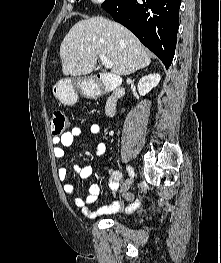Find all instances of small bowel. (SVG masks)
I'll list each match as a JSON object with an SVG mask.
<instances>
[{
    "instance_id": "small-bowel-1",
    "label": "small bowel",
    "mask_w": 221,
    "mask_h": 263,
    "mask_svg": "<svg viewBox=\"0 0 221 263\" xmlns=\"http://www.w3.org/2000/svg\"><path fill=\"white\" fill-rule=\"evenodd\" d=\"M102 126L98 123L92 124L90 126V133L92 135L100 134ZM82 130L79 127H74L70 131L65 132L62 136L56 137L53 139V156L56 159H62L65 156V148L71 146L74 140L80 137ZM106 152V144L103 141H97L94 144V153L97 156H102ZM74 172L80 178H88L92 174V167L89 165H75L73 167ZM58 177L64 182L63 190L66 194L71 195L75 192V187L72 183L66 182L68 178V171L65 167H60L58 169ZM109 177V188L112 191L113 196L115 197L116 192L119 190L120 181L122 180V173L118 170H108ZM101 193V187L98 183H93L90 185L88 190V195L85 198L76 197L74 199V204L82 210V212L89 217H95L105 214L116 213L119 210L125 209L126 211H134L139 206V200L134 198L130 193L124 192V200L127 202V205L124 206L122 202L114 200L110 205L104 206L98 209L96 212H91L88 208L89 205L95 203L99 198Z\"/></svg>"
}]
</instances>
